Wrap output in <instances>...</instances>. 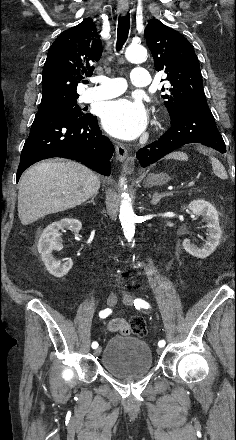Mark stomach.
<instances>
[{
  "label": "stomach",
  "mask_w": 236,
  "mask_h": 440,
  "mask_svg": "<svg viewBox=\"0 0 236 440\" xmlns=\"http://www.w3.org/2000/svg\"><path fill=\"white\" fill-rule=\"evenodd\" d=\"M169 180H170L169 175L165 173L149 174L146 180L144 181V184L146 187H153V186L163 185L167 183Z\"/></svg>",
  "instance_id": "stomach-1"
}]
</instances>
